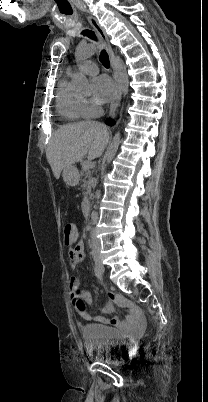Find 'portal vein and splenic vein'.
Returning a JSON list of instances; mask_svg holds the SVG:
<instances>
[{"label": "portal vein and splenic vein", "mask_w": 208, "mask_h": 402, "mask_svg": "<svg viewBox=\"0 0 208 402\" xmlns=\"http://www.w3.org/2000/svg\"><path fill=\"white\" fill-rule=\"evenodd\" d=\"M83 170H89V168H92L91 160H85L82 164Z\"/></svg>", "instance_id": "18ae733b"}]
</instances>
